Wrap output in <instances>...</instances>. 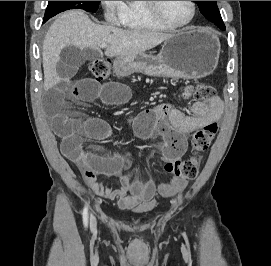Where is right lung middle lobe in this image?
Returning <instances> with one entry per match:
<instances>
[{"label": "right lung middle lobe", "instance_id": "right-lung-middle-lobe-1", "mask_svg": "<svg viewBox=\"0 0 271 266\" xmlns=\"http://www.w3.org/2000/svg\"><path fill=\"white\" fill-rule=\"evenodd\" d=\"M98 7L99 1H49L44 15V22L68 9H83L87 12H96Z\"/></svg>", "mask_w": 271, "mask_h": 266}]
</instances>
